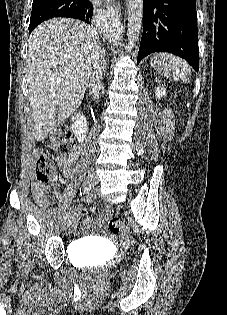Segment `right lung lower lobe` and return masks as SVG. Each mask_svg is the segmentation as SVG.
I'll list each match as a JSON object with an SVG mask.
<instances>
[{
    "label": "right lung lower lobe",
    "instance_id": "right-lung-lower-lobe-1",
    "mask_svg": "<svg viewBox=\"0 0 227 315\" xmlns=\"http://www.w3.org/2000/svg\"><path fill=\"white\" fill-rule=\"evenodd\" d=\"M92 15V4L88 0H79L77 3L71 4L64 9L61 17L75 18L90 24Z\"/></svg>",
    "mask_w": 227,
    "mask_h": 315
}]
</instances>
